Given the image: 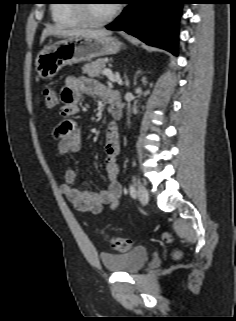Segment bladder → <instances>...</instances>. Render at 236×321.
<instances>
[{
  "label": "bladder",
  "mask_w": 236,
  "mask_h": 321,
  "mask_svg": "<svg viewBox=\"0 0 236 321\" xmlns=\"http://www.w3.org/2000/svg\"><path fill=\"white\" fill-rule=\"evenodd\" d=\"M146 247H135L125 253L101 254V261L107 271L133 274L140 271L149 259Z\"/></svg>",
  "instance_id": "obj_1"
}]
</instances>
